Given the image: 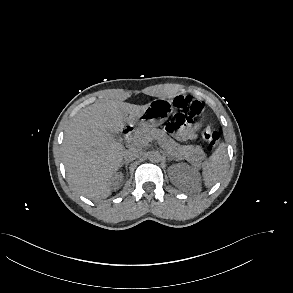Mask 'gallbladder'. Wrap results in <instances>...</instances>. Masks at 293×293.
I'll return each mask as SVG.
<instances>
[{
    "instance_id": "bac80fb5",
    "label": "gallbladder",
    "mask_w": 293,
    "mask_h": 293,
    "mask_svg": "<svg viewBox=\"0 0 293 293\" xmlns=\"http://www.w3.org/2000/svg\"><path fill=\"white\" fill-rule=\"evenodd\" d=\"M113 138H115V139H119L120 138V136H118L117 134H115V133H109Z\"/></svg>"
}]
</instances>
